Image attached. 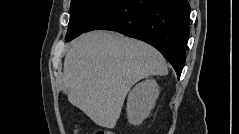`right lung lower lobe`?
Returning <instances> with one entry per match:
<instances>
[{"mask_svg": "<svg viewBox=\"0 0 239 134\" xmlns=\"http://www.w3.org/2000/svg\"><path fill=\"white\" fill-rule=\"evenodd\" d=\"M189 14L187 0H118L84 32L111 30L145 41L163 54L179 78L186 60Z\"/></svg>", "mask_w": 239, "mask_h": 134, "instance_id": "98d812e1", "label": "right lung lower lobe"}]
</instances>
